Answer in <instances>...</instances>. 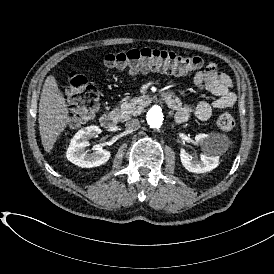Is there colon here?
<instances>
[{
    "instance_id": "1",
    "label": "colon",
    "mask_w": 274,
    "mask_h": 274,
    "mask_svg": "<svg viewBox=\"0 0 274 274\" xmlns=\"http://www.w3.org/2000/svg\"><path fill=\"white\" fill-rule=\"evenodd\" d=\"M103 63L122 71L160 70L175 74H186L204 67V61L198 55H185L154 48L129 49L110 53L104 57ZM65 93L75 112L69 118L71 125H77L99 108L98 90L83 76L71 73ZM215 122L217 127L225 132L233 130L236 126L234 114L226 110L217 114Z\"/></svg>"
}]
</instances>
